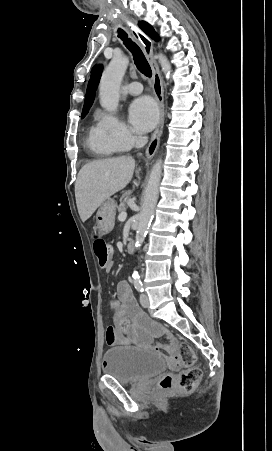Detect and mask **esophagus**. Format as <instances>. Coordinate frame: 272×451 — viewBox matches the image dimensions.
Listing matches in <instances>:
<instances>
[{
    "mask_svg": "<svg viewBox=\"0 0 272 451\" xmlns=\"http://www.w3.org/2000/svg\"><path fill=\"white\" fill-rule=\"evenodd\" d=\"M135 38L139 40V42L143 46V50L145 53V56L151 66L152 69V77H153V92L157 100V104L159 107V123L157 125V128L155 129L154 133L152 134L150 143L146 149V156L147 158H152L156 150L159 146L160 138L163 131V125H164V101H163V85H162V79L161 74L159 71L158 64L154 58L153 54V43L150 38L142 33L141 31H135L134 33Z\"/></svg>",
    "mask_w": 272,
    "mask_h": 451,
    "instance_id": "34e87169",
    "label": "esophagus"
}]
</instances>
